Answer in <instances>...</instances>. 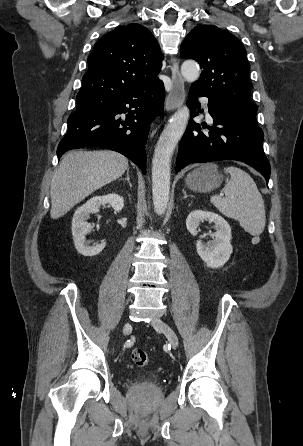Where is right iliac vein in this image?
<instances>
[{
    "label": "right iliac vein",
    "mask_w": 303,
    "mask_h": 446,
    "mask_svg": "<svg viewBox=\"0 0 303 446\" xmlns=\"http://www.w3.org/2000/svg\"><path fill=\"white\" fill-rule=\"evenodd\" d=\"M130 329V324L126 323L123 327V333L126 334V332Z\"/></svg>",
    "instance_id": "63e3f726"
}]
</instances>
